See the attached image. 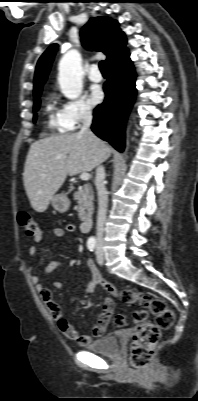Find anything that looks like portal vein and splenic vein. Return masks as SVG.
I'll use <instances>...</instances> for the list:
<instances>
[{"mask_svg":"<svg viewBox=\"0 0 198 401\" xmlns=\"http://www.w3.org/2000/svg\"><path fill=\"white\" fill-rule=\"evenodd\" d=\"M80 178H81V180H83V181H88V180L90 179V174L87 173V172H83V173L80 175Z\"/></svg>","mask_w":198,"mask_h":401,"instance_id":"obj_1","label":"portal vein and splenic vein"}]
</instances>
